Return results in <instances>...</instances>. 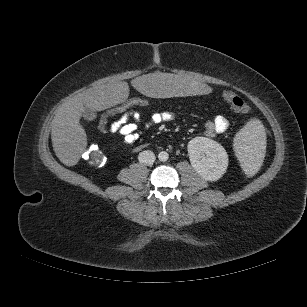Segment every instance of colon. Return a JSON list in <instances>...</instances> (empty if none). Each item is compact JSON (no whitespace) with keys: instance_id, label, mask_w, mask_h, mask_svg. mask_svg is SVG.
Wrapping results in <instances>:
<instances>
[{"instance_id":"colon-1","label":"colon","mask_w":307,"mask_h":307,"mask_svg":"<svg viewBox=\"0 0 307 307\" xmlns=\"http://www.w3.org/2000/svg\"><path fill=\"white\" fill-rule=\"evenodd\" d=\"M223 98L229 103L231 108L241 114L248 113L250 108L248 104L234 92L226 91ZM156 99L144 95L130 96L118 105L110 108L100 119L99 130L104 134H110V126L113 122L127 116L136 108L151 106L156 103ZM84 158L89 164L101 167L106 163V157L100 148L95 144H89L84 151Z\"/></svg>"}]
</instances>
